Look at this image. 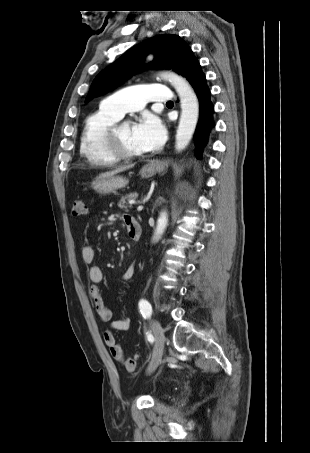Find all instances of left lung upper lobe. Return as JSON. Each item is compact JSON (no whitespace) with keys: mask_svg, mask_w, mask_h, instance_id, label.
<instances>
[{"mask_svg":"<svg viewBox=\"0 0 310 453\" xmlns=\"http://www.w3.org/2000/svg\"><path fill=\"white\" fill-rule=\"evenodd\" d=\"M150 53L154 54V60L149 67L173 69L178 74L182 73L187 60L193 54L188 44L176 35H159L148 39L123 54L96 76L86 102L113 90L145 68L142 62Z\"/></svg>","mask_w":310,"mask_h":453,"instance_id":"obj_1","label":"left lung upper lobe"}]
</instances>
